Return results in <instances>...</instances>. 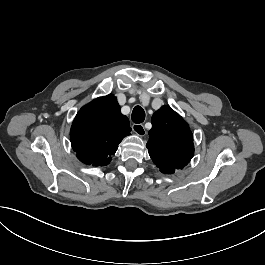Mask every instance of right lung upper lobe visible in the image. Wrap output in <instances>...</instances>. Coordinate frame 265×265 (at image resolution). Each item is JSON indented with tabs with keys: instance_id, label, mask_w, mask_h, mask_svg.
I'll return each mask as SVG.
<instances>
[{
	"instance_id": "1",
	"label": "right lung upper lobe",
	"mask_w": 265,
	"mask_h": 265,
	"mask_svg": "<svg viewBox=\"0 0 265 265\" xmlns=\"http://www.w3.org/2000/svg\"><path fill=\"white\" fill-rule=\"evenodd\" d=\"M130 131L128 118L121 114L116 97L109 94L79 110L70 130L71 145L81 162L106 166Z\"/></svg>"
}]
</instances>
